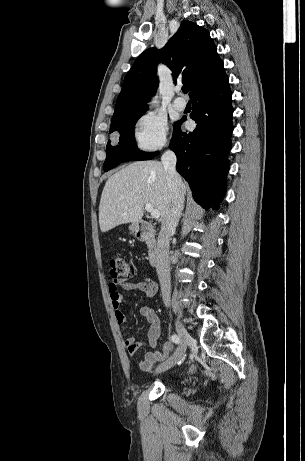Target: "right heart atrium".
Listing matches in <instances>:
<instances>
[{
  "instance_id": "right-heart-atrium-1",
  "label": "right heart atrium",
  "mask_w": 305,
  "mask_h": 461,
  "mask_svg": "<svg viewBox=\"0 0 305 461\" xmlns=\"http://www.w3.org/2000/svg\"><path fill=\"white\" fill-rule=\"evenodd\" d=\"M168 123L154 112H148L138 118L133 129L136 146L142 152H154L168 143Z\"/></svg>"
}]
</instances>
